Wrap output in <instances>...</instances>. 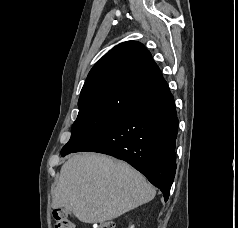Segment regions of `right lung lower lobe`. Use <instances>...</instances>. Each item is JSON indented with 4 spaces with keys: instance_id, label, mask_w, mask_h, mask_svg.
Segmentation results:
<instances>
[{
    "instance_id": "1",
    "label": "right lung lower lobe",
    "mask_w": 238,
    "mask_h": 228,
    "mask_svg": "<svg viewBox=\"0 0 238 228\" xmlns=\"http://www.w3.org/2000/svg\"><path fill=\"white\" fill-rule=\"evenodd\" d=\"M177 132L175 102L168 90L130 108L73 152H98L128 162L167 201L176 171Z\"/></svg>"
}]
</instances>
